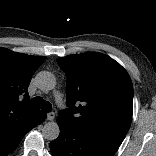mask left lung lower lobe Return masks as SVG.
Wrapping results in <instances>:
<instances>
[{"instance_id":"0a47b994","label":"left lung lower lobe","mask_w":156,"mask_h":156,"mask_svg":"<svg viewBox=\"0 0 156 156\" xmlns=\"http://www.w3.org/2000/svg\"><path fill=\"white\" fill-rule=\"evenodd\" d=\"M60 134L50 143L53 156H113L117 143L95 134L75 129L66 119L58 117Z\"/></svg>"}]
</instances>
